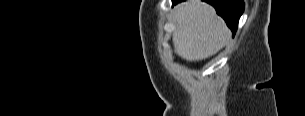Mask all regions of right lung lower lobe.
Here are the masks:
<instances>
[{
	"mask_svg": "<svg viewBox=\"0 0 305 116\" xmlns=\"http://www.w3.org/2000/svg\"><path fill=\"white\" fill-rule=\"evenodd\" d=\"M173 4L184 0H172ZM216 9L218 15H220L225 21L228 27L231 29L233 35L235 34L238 26L240 16L244 11L243 0H203Z\"/></svg>",
	"mask_w": 305,
	"mask_h": 116,
	"instance_id": "obj_1",
	"label": "right lung lower lobe"
}]
</instances>
